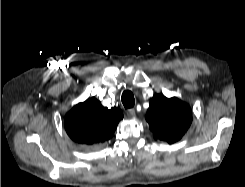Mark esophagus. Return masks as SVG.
<instances>
[{"mask_svg":"<svg viewBox=\"0 0 245 187\" xmlns=\"http://www.w3.org/2000/svg\"><path fill=\"white\" fill-rule=\"evenodd\" d=\"M126 113H127V115H128L129 117H131V118L135 117V115H136V111H135L134 108L128 109V110L126 111Z\"/></svg>","mask_w":245,"mask_h":187,"instance_id":"34e87169","label":"esophagus"}]
</instances>
